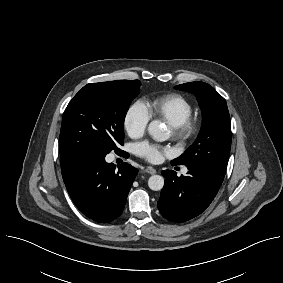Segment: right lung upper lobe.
I'll return each instance as SVG.
<instances>
[{
  "label": "right lung upper lobe",
  "instance_id": "right-lung-upper-lobe-1",
  "mask_svg": "<svg viewBox=\"0 0 283 283\" xmlns=\"http://www.w3.org/2000/svg\"><path fill=\"white\" fill-rule=\"evenodd\" d=\"M68 161H61V167H64L65 165H67Z\"/></svg>",
  "mask_w": 283,
  "mask_h": 283
}]
</instances>
